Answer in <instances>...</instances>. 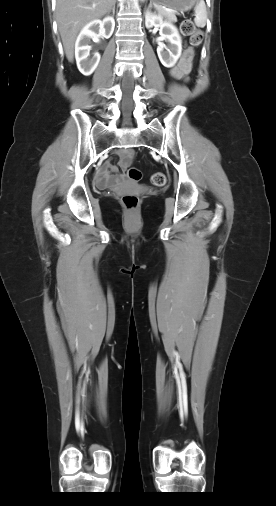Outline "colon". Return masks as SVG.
Masks as SVG:
<instances>
[{"label": "colon", "mask_w": 276, "mask_h": 506, "mask_svg": "<svg viewBox=\"0 0 276 506\" xmlns=\"http://www.w3.org/2000/svg\"><path fill=\"white\" fill-rule=\"evenodd\" d=\"M180 30L184 36L189 38L190 43L193 46H199L202 44L204 39L203 32L197 29L190 19L182 20ZM128 175L134 181H139L142 178V173L137 168H130L128 170ZM151 181L156 186H163L166 183L167 178L164 173L157 172L152 175ZM121 201L128 211L136 210L139 204V198L135 194H125L122 196Z\"/></svg>", "instance_id": "obj_1"}]
</instances>
